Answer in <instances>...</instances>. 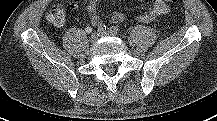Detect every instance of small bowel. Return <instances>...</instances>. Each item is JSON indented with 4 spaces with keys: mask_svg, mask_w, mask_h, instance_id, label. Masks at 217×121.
<instances>
[{
    "mask_svg": "<svg viewBox=\"0 0 217 121\" xmlns=\"http://www.w3.org/2000/svg\"><path fill=\"white\" fill-rule=\"evenodd\" d=\"M101 0H88L86 9L89 14L91 23L95 27H100L102 25V20L97 12L98 4ZM143 1V0H138ZM72 7H77V1L71 2ZM169 11L168 6L164 0H154L153 6L146 13L140 14L137 19L141 22L149 23L152 22L156 17L160 15H165ZM124 20V14L121 12H115L111 16V22L120 23Z\"/></svg>",
    "mask_w": 217,
    "mask_h": 121,
    "instance_id": "c3829d8e",
    "label": "small bowel"
}]
</instances>
